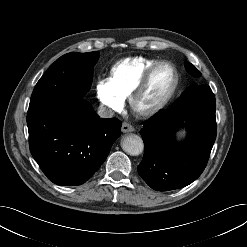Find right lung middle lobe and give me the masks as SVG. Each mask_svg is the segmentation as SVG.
Wrapping results in <instances>:
<instances>
[{"instance_id": "right-lung-middle-lobe-1", "label": "right lung middle lobe", "mask_w": 247, "mask_h": 247, "mask_svg": "<svg viewBox=\"0 0 247 247\" xmlns=\"http://www.w3.org/2000/svg\"><path fill=\"white\" fill-rule=\"evenodd\" d=\"M99 51L68 53L58 58L36 84L30 105L51 98L78 99L89 90Z\"/></svg>"}]
</instances>
